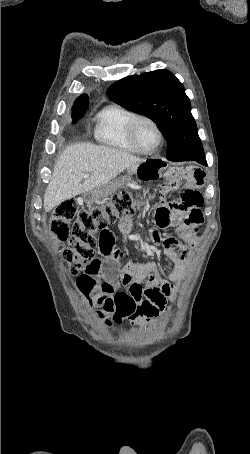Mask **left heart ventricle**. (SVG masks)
Instances as JSON below:
<instances>
[{
	"instance_id": "obj_1",
	"label": "left heart ventricle",
	"mask_w": 250,
	"mask_h": 454,
	"mask_svg": "<svg viewBox=\"0 0 250 454\" xmlns=\"http://www.w3.org/2000/svg\"><path fill=\"white\" fill-rule=\"evenodd\" d=\"M136 134L138 142L146 150L153 149L158 142L157 132L148 122L139 123Z\"/></svg>"
}]
</instances>
